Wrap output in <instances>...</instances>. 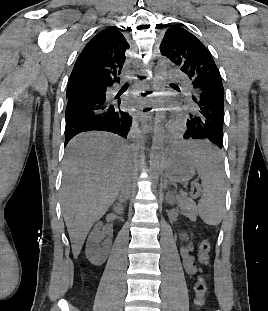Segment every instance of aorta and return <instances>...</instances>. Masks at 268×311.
Instances as JSON below:
<instances>
[{
	"label": "aorta",
	"instance_id": "762f6f07",
	"mask_svg": "<svg viewBox=\"0 0 268 311\" xmlns=\"http://www.w3.org/2000/svg\"><path fill=\"white\" fill-rule=\"evenodd\" d=\"M154 74V91L157 92L155 97V110H156V122L155 127L158 128L155 130L152 147H151V156H150V177L156 186L160 174H161V164L165 155V144H166V135L162 128L166 127L165 122V100H164V83H166L169 77V70L166 68V65H153Z\"/></svg>",
	"mask_w": 268,
	"mask_h": 311
}]
</instances>
